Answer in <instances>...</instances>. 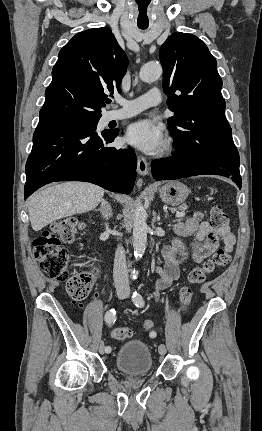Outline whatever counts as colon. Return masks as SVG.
I'll return each instance as SVG.
<instances>
[{"label": "colon", "mask_w": 262, "mask_h": 431, "mask_svg": "<svg viewBox=\"0 0 262 431\" xmlns=\"http://www.w3.org/2000/svg\"><path fill=\"white\" fill-rule=\"evenodd\" d=\"M210 222L213 227L226 226L228 216L221 208L215 207L211 210ZM79 231L80 224L78 221L65 219L42 232L35 238L33 244L34 257L40 263L45 275L55 281H66L68 294L75 302L86 299L93 285V278L90 273L76 272L70 274L69 272L68 254L62 244L75 242ZM228 260L229 254L224 249H219L210 259L190 271L189 283L193 285L203 283L208 275L212 274L217 267L224 266ZM191 298V287L189 285L182 286L179 290V301L182 310L186 311L188 309ZM153 327L154 322L150 319L143 324L146 331H151ZM131 334V330L127 327H116L110 332L114 340L127 339Z\"/></svg>", "instance_id": "1"}]
</instances>
